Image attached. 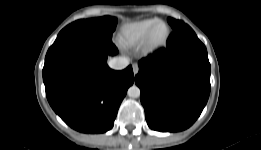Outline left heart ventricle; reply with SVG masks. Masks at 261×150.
I'll use <instances>...</instances> for the list:
<instances>
[{"label":"left heart ventricle","mask_w":261,"mask_h":150,"mask_svg":"<svg viewBox=\"0 0 261 150\" xmlns=\"http://www.w3.org/2000/svg\"><path fill=\"white\" fill-rule=\"evenodd\" d=\"M167 29L166 26L163 24H160L156 27L154 31V39L155 40H161L166 35Z\"/></svg>","instance_id":"left-heart-ventricle-1"}]
</instances>
